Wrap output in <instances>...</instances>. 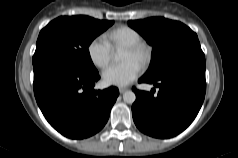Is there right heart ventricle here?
I'll return each instance as SVG.
<instances>
[{"label":"right heart ventricle","instance_id":"right-heart-ventricle-1","mask_svg":"<svg viewBox=\"0 0 238 158\" xmlns=\"http://www.w3.org/2000/svg\"><path fill=\"white\" fill-rule=\"evenodd\" d=\"M106 38L109 44L114 48L121 46L126 47L142 41L140 33L128 26H120L110 30L106 34Z\"/></svg>","mask_w":238,"mask_h":158}]
</instances>
